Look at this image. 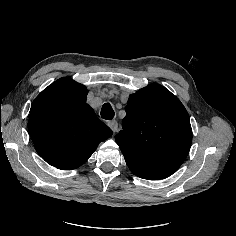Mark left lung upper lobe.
Listing matches in <instances>:
<instances>
[{
	"label": "left lung upper lobe",
	"mask_w": 236,
	"mask_h": 236,
	"mask_svg": "<svg viewBox=\"0 0 236 236\" xmlns=\"http://www.w3.org/2000/svg\"><path fill=\"white\" fill-rule=\"evenodd\" d=\"M115 136L126 164L148 180L172 175L184 162L192 142L188 112L165 87L150 84L131 94Z\"/></svg>",
	"instance_id": "left-lung-upper-lobe-1"
}]
</instances>
